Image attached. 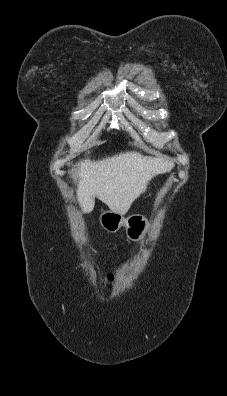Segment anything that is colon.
Here are the masks:
<instances>
[{"mask_svg": "<svg viewBox=\"0 0 227 396\" xmlns=\"http://www.w3.org/2000/svg\"><path fill=\"white\" fill-rule=\"evenodd\" d=\"M113 278V276L112 275H110V279H112Z\"/></svg>", "mask_w": 227, "mask_h": 396, "instance_id": "colon-1", "label": "colon"}]
</instances>
